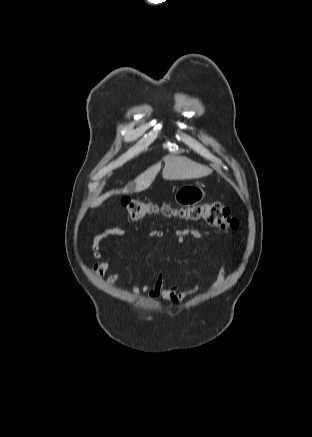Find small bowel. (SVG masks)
<instances>
[{
  "mask_svg": "<svg viewBox=\"0 0 312 437\" xmlns=\"http://www.w3.org/2000/svg\"><path fill=\"white\" fill-rule=\"evenodd\" d=\"M175 235L180 243H183L187 237H193L197 241H199L201 244L206 245L205 233L200 231V230H195V229L177 230L175 232ZM109 236L123 237V236H126V232L122 229L111 228V229H106V230L98 233L94 237L93 242H92V251H93L94 258L97 261L93 265V271L99 279H103L107 270L110 267L109 262L106 260L105 252L102 249V241ZM149 236L154 237V238H160L163 236V232H161L159 230H152L149 233ZM225 275H226V267H225V263H223V266L218 274L217 281H216L215 285L221 284L225 278ZM118 278H119L118 272L111 274L107 278L108 285L114 286V284ZM200 285L201 284H198L197 286H195L191 289L184 290V289H181L177 285H169L167 280L162 275H158L156 281L153 284L136 286V287H134L133 292L135 294L146 293V294H148V296L151 300H156V299L161 298V299L168 301L172 304H178L186 297V295L190 291L198 288Z\"/></svg>",
  "mask_w": 312,
  "mask_h": 437,
  "instance_id": "obj_1",
  "label": "small bowel"
}]
</instances>
